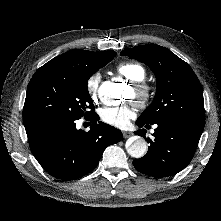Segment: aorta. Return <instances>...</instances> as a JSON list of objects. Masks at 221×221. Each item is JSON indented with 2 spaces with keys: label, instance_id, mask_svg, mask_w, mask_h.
<instances>
[{
  "label": "aorta",
  "instance_id": "obj_1",
  "mask_svg": "<svg viewBox=\"0 0 221 221\" xmlns=\"http://www.w3.org/2000/svg\"><path fill=\"white\" fill-rule=\"evenodd\" d=\"M122 92L121 84L114 82H104L100 87V93L103 97L109 99H117L120 98ZM127 152L130 156L134 158H141L147 152V143L141 137H136L132 139V142L129 146H127Z\"/></svg>",
  "mask_w": 221,
  "mask_h": 221
}]
</instances>
